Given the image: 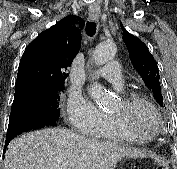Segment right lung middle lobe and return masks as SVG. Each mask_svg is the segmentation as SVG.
<instances>
[{
  "label": "right lung middle lobe",
  "mask_w": 177,
  "mask_h": 169,
  "mask_svg": "<svg viewBox=\"0 0 177 169\" xmlns=\"http://www.w3.org/2000/svg\"><path fill=\"white\" fill-rule=\"evenodd\" d=\"M64 86L54 88L28 87L14 96L11 113H45L59 117L60 92Z\"/></svg>",
  "instance_id": "dd1d6c3e"
}]
</instances>
